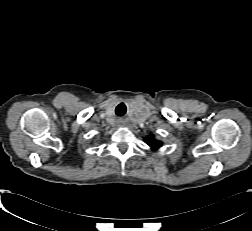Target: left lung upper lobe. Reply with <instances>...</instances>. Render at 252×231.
Segmentation results:
<instances>
[{"label": "left lung upper lobe", "instance_id": "1", "mask_svg": "<svg viewBox=\"0 0 252 231\" xmlns=\"http://www.w3.org/2000/svg\"><path fill=\"white\" fill-rule=\"evenodd\" d=\"M145 142H146L153 150H156V149H158L159 147L162 146V142L155 140L153 135L148 136V137L145 139Z\"/></svg>", "mask_w": 252, "mask_h": 231}]
</instances>
